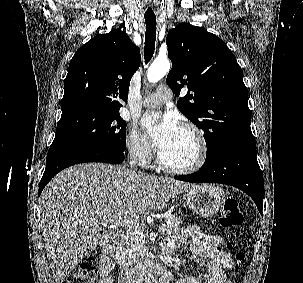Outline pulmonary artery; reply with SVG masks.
I'll list each match as a JSON object with an SVG mask.
<instances>
[{
	"mask_svg": "<svg viewBox=\"0 0 303 283\" xmlns=\"http://www.w3.org/2000/svg\"><path fill=\"white\" fill-rule=\"evenodd\" d=\"M172 98V91L167 86H159L156 91L148 95L142 104L145 107H155L163 104Z\"/></svg>",
	"mask_w": 303,
	"mask_h": 283,
	"instance_id": "1",
	"label": "pulmonary artery"
}]
</instances>
